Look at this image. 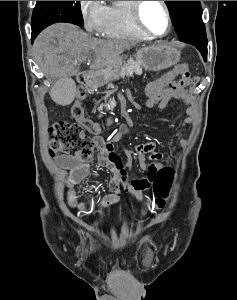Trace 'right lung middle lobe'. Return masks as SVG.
Returning <instances> with one entry per match:
<instances>
[{"instance_id":"1","label":"right lung middle lobe","mask_w":237,"mask_h":300,"mask_svg":"<svg viewBox=\"0 0 237 300\" xmlns=\"http://www.w3.org/2000/svg\"><path fill=\"white\" fill-rule=\"evenodd\" d=\"M57 22L83 26L80 1H36L32 14V34L37 36L44 28Z\"/></svg>"}]
</instances>
